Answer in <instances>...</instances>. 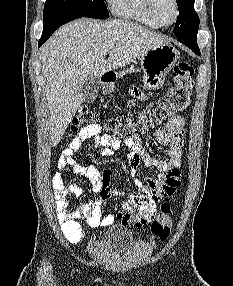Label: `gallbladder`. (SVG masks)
<instances>
[{"label": "gallbladder", "instance_id": "1", "mask_svg": "<svg viewBox=\"0 0 233 286\" xmlns=\"http://www.w3.org/2000/svg\"><path fill=\"white\" fill-rule=\"evenodd\" d=\"M100 80L96 76H88L83 85L82 93L84 95L85 103H93L97 97Z\"/></svg>", "mask_w": 233, "mask_h": 286}]
</instances>
